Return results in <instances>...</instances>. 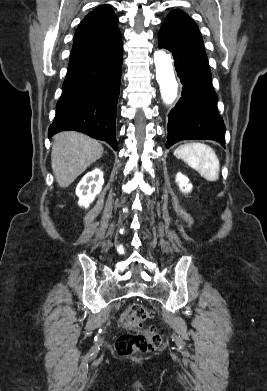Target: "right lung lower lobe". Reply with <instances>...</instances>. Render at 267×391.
Returning <instances> with one entry per match:
<instances>
[{
    "mask_svg": "<svg viewBox=\"0 0 267 391\" xmlns=\"http://www.w3.org/2000/svg\"><path fill=\"white\" fill-rule=\"evenodd\" d=\"M122 56L120 44L69 64L49 138L60 131L76 130L118 149L115 129Z\"/></svg>",
    "mask_w": 267,
    "mask_h": 391,
    "instance_id": "98d812e1",
    "label": "right lung lower lobe"
}]
</instances>
